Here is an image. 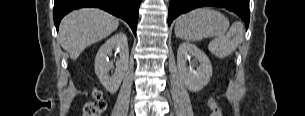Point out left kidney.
Wrapping results in <instances>:
<instances>
[{"label": "left kidney", "mask_w": 305, "mask_h": 116, "mask_svg": "<svg viewBox=\"0 0 305 116\" xmlns=\"http://www.w3.org/2000/svg\"><path fill=\"white\" fill-rule=\"evenodd\" d=\"M192 55L199 65L194 70L187 67L186 61ZM196 65V63H194ZM177 67L181 79L189 91L197 92L202 90L210 81L213 70L207 55L190 43H181L177 51Z\"/></svg>", "instance_id": "left-kidney-1"}]
</instances>
